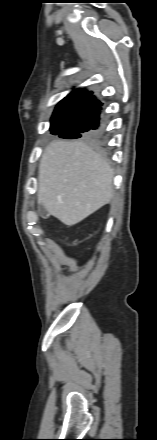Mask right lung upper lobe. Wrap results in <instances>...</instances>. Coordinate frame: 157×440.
<instances>
[{
    "instance_id": "obj_1",
    "label": "right lung upper lobe",
    "mask_w": 157,
    "mask_h": 440,
    "mask_svg": "<svg viewBox=\"0 0 157 440\" xmlns=\"http://www.w3.org/2000/svg\"><path fill=\"white\" fill-rule=\"evenodd\" d=\"M101 103L92 92L74 90L56 106L51 121H79L83 127H92L99 118Z\"/></svg>"
}]
</instances>
